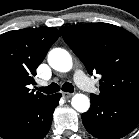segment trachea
I'll return each mask as SVG.
<instances>
[{
	"mask_svg": "<svg viewBox=\"0 0 139 139\" xmlns=\"http://www.w3.org/2000/svg\"><path fill=\"white\" fill-rule=\"evenodd\" d=\"M37 90L44 92L46 94H53V93L58 92L60 90V86L56 83H52L47 87H40ZM62 90L65 92L73 93L74 92V86L69 82H65L62 85Z\"/></svg>",
	"mask_w": 139,
	"mask_h": 139,
	"instance_id": "3493384b",
	"label": "trachea"
}]
</instances>
